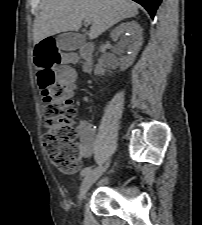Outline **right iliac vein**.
Segmentation results:
<instances>
[{
	"label": "right iliac vein",
	"instance_id": "obj_1",
	"mask_svg": "<svg viewBox=\"0 0 202 225\" xmlns=\"http://www.w3.org/2000/svg\"><path fill=\"white\" fill-rule=\"evenodd\" d=\"M109 163H106L103 166H100L93 171H90L82 180L81 186H80V194L78 202L81 204L82 199L84 198L85 194L89 190V188L92 186L93 183L106 171Z\"/></svg>",
	"mask_w": 202,
	"mask_h": 225
}]
</instances>
